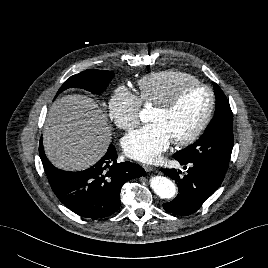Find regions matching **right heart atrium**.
Listing matches in <instances>:
<instances>
[{"mask_svg":"<svg viewBox=\"0 0 268 268\" xmlns=\"http://www.w3.org/2000/svg\"><path fill=\"white\" fill-rule=\"evenodd\" d=\"M141 105L139 95L119 86L108 101V115L117 127L128 131L138 125Z\"/></svg>","mask_w":268,"mask_h":268,"instance_id":"1","label":"right heart atrium"}]
</instances>
